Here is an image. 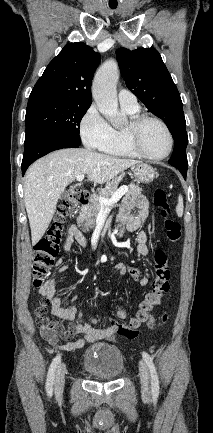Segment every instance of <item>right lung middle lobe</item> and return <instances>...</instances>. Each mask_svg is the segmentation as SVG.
<instances>
[{
    "mask_svg": "<svg viewBox=\"0 0 213 433\" xmlns=\"http://www.w3.org/2000/svg\"><path fill=\"white\" fill-rule=\"evenodd\" d=\"M90 103L54 98L29 99L26 133L46 129L80 143L79 127Z\"/></svg>",
    "mask_w": 213,
    "mask_h": 433,
    "instance_id": "obj_1",
    "label": "right lung middle lobe"
}]
</instances>
